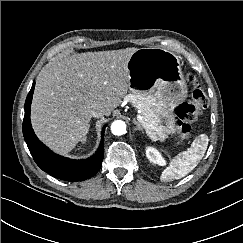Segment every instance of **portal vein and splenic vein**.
Listing matches in <instances>:
<instances>
[{"label": "portal vein and splenic vein", "mask_w": 243, "mask_h": 243, "mask_svg": "<svg viewBox=\"0 0 243 243\" xmlns=\"http://www.w3.org/2000/svg\"><path fill=\"white\" fill-rule=\"evenodd\" d=\"M137 119L145 127L146 123H145L143 117L141 115H137ZM151 138L154 140L153 137H151Z\"/></svg>", "instance_id": "portal-vein-and-splenic-vein-1"}]
</instances>
